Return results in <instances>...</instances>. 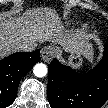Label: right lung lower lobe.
I'll return each mask as SVG.
<instances>
[{
	"mask_svg": "<svg viewBox=\"0 0 108 108\" xmlns=\"http://www.w3.org/2000/svg\"><path fill=\"white\" fill-rule=\"evenodd\" d=\"M39 61V51L14 53L0 61V108L13 103L21 78Z\"/></svg>",
	"mask_w": 108,
	"mask_h": 108,
	"instance_id": "right-lung-lower-lobe-1",
	"label": "right lung lower lobe"
}]
</instances>
